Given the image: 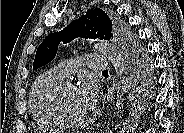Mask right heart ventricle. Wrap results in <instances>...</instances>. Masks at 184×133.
<instances>
[{"instance_id":"right-heart-ventricle-1","label":"right heart ventricle","mask_w":184,"mask_h":133,"mask_svg":"<svg viewBox=\"0 0 184 133\" xmlns=\"http://www.w3.org/2000/svg\"><path fill=\"white\" fill-rule=\"evenodd\" d=\"M55 68L40 74L30 93V110L34 119L44 126H56L60 123L52 109L51 99L56 87L64 81Z\"/></svg>"}]
</instances>
